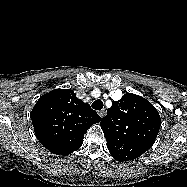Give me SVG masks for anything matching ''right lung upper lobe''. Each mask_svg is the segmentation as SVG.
Listing matches in <instances>:
<instances>
[{
	"label": "right lung upper lobe",
	"mask_w": 187,
	"mask_h": 187,
	"mask_svg": "<svg viewBox=\"0 0 187 187\" xmlns=\"http://www.w3.org/2000/svg\"><path fill=\"white\" fill-rule=\"evenodd\" d=\"M31 119L41 144L64 156L81 147L84 134L101 117L71 89H55L38 99Z\"/></svg>",
	"instance_id": "1"
}]
</instances>
